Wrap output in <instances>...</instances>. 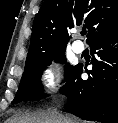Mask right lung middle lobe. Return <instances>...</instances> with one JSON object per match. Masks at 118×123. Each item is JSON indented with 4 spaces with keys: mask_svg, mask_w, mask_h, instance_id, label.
<instances>
[{
    "mask_svg": "<svg viewBox=\"0 0 118 123\" xmlns=\"http://www.w3.org/2000/svg\"><path fill=\"white\" fill-rule=\"evenodd\" d=\"M53 60L66 63L65 50L43 56L31 65L25 67L19 89L12 104L21 101L40 100L45 97L41 84V75L44 69L49 66ZM75 68L76 66H70L69 64L65 66L66 80L69 79Z\"/></svg>",
    "mask_w": 118,
    "mask_h": 123,
    "instance_id": "1",
    "label": "right lung middle lobe"
}]
</instances>
